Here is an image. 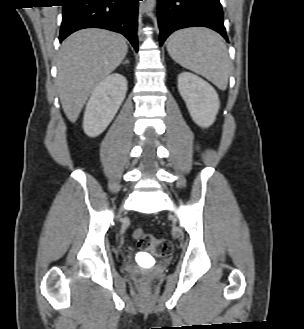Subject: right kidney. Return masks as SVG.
<instances>
[{"instance_id": "right-kidney-1", "label": "right kidney", "mask_w": 304, "mask_h": 329, "mask_svg": "<svg viewBox=\"0 0 304 329\" xmlns=\"http://www.w3.org/2000/svg\"><path fill=\"white\" fill-rule=\"evenodd\" d=\"M127 92V80L113 73L93 90L86 105L83 129L89 137L100 135L113 120Z\"/></svg>"}]
</instances>
